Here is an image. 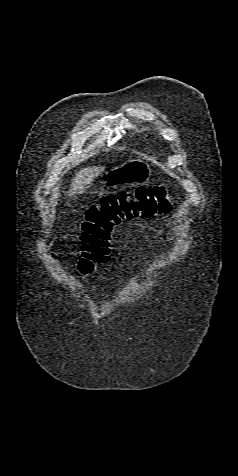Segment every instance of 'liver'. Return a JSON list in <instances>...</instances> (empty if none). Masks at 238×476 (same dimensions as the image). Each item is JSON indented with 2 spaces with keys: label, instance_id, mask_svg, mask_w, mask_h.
<instances>
[{
  "label": "liver",
  "instance_id": "liver-1",
  "mask_svg": "<svg viewBox=\"0 0 238 476\" xmlns=\"http://www.w3.org/2000/svg\"><path fill=\"white\" fill-rule=\"evenodd\" d=\"M104 169L105 167L103 166L82 168L72 179L69 194L81 193L85 186L93 182V180L99 176L104 171Z\"/></svg>",
  "mask_w": 238,
  "mask_h": 476
}]
</instances>
